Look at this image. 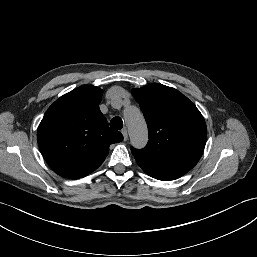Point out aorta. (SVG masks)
Wrapping results in <instances>:
<instances>
[{"mask_svg":"<svg viewBox=\"0 0 257 257\" xmlns=\"http://www.w3.org/2000/svg\"><path fill=\"white\" fill-rule=\"evenodd\" d=\"M125 121L130 131L131 141L135 147L141 148L147 142V127L145 120L136 107H131L125 111Z\"/></svg>","mask_w":257,"mask_h":257,"instance_id":"1","label":"aorta"}]
</instances>
